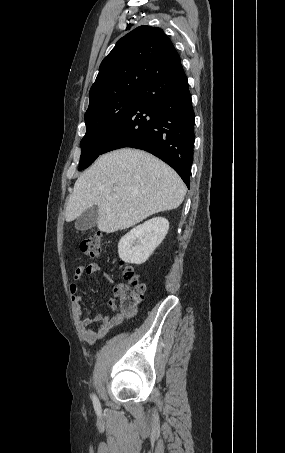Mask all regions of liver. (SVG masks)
<instances>
[{
    "label": "liver",
    "mask_w": 285,
    "mask_h": 453,
    "mask_svg": "<svg viewBox=\"0 0 285 453\" xmlns=\"http://www.w3.org/2000/svg\"><path fill=\"white\" fill-rule=\"evenodd\" d=\"M185 194V184L167 164L147 152L123 148L101 155L76 180L65 220L71 222L97 205L98 229L113 233L176 209Z\"/></svg>",
    "instance_id": "6515ba94"
}]
</instances>
